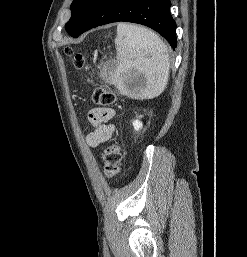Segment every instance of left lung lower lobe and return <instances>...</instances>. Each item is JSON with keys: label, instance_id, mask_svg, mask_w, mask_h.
I'll use <instances>...</instances> for the list:
<instances>
[{"label": "left lung lower lobe", "instance_id": "obj_1", "mask_svg": "<svg viewBox=\"0 0 247 257\" xmlns=\"http://www.w3.org/2000/svg\"><path fill=\"white\" fill-rule=\"evenodd\" d=\"M170 0H97L79 30L72 37L104 24L126 21L148 26L175 48L176 23L170 14Z\"/></svg>", "mask_w": 247, "mask_h": 257}]
</instances>
